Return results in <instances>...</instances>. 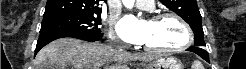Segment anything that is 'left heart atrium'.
I'll return each mask as SVG.
<instances>
[{
	"instance_id": "39dd6f15",
	"label": "left heart atrium",
	"mask_w": 246,
	"mask_h": 69,
	"mask_svg": "<svg viewBox=\"0 0 246 69\" xmlns=\"http://www.w3.org/2000/svg\"><path fill=\"white\" fill-rule=\"evenodd\" d=\"M147 22H140L134 16H126L118 26L120 37L129 44H141L145 41Z\"/></svg>"
}]
</instances>
